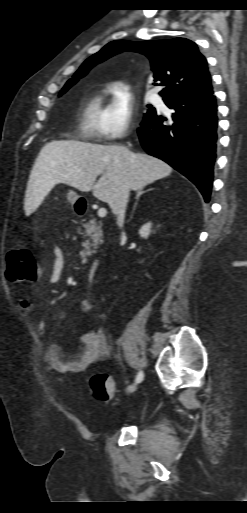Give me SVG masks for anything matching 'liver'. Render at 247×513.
Listing matches in <instances>:
<instances>
[{"instance_id": "1", "label": "liver", "mask_w": 247, "mask_h": 513, "mask_svg": "<svg viewBox=\"0 0 247 513\" xmlns=\"http://www.w3.org/2000/svg\"><path fill=\"white\" fill-rule=\"evenodd\" d=\"M171 172L172 168L164 161L147 154L133 153L125 146L74 140L51 141L41 149L31 170L24 210L26 214L35 211L59 183L82 192L92 190L93 196L108 203L112 209L123 185L141 190ZM98 176L100 178L95 183Z\"/></svg>"}]
</instances>
